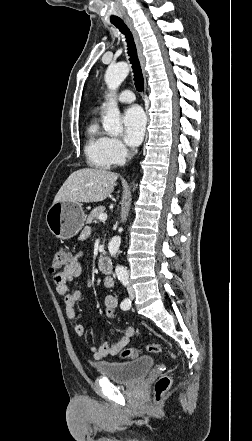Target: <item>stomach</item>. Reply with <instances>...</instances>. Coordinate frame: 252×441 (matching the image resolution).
Returning <instances> with one entry per match:
<instances>
[{
  "mask_svg": "<svg viewBox=\"0 0 252 441\" xmlns=\"http://www.w3.org/2000/svg\"><path fill=\"white\" fill-rule=\"evenodd\" d=\"M85 222L82 205L78 202H53L46 214L51 233L59 239H70L78 234Z\"/></svg>",
  "mask_w": 252,
  "mask_h": 441,
  "instance_id": "stomach-1",
  "label": "stomach"
}]
</instances>
